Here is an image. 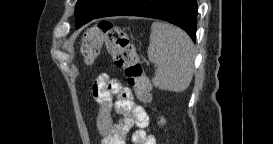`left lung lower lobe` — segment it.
<instances>
[{
	"mask_svg": "<svg viewBox=\"0 0 273 144\" xmlns=\"http://www.w3.org/2000/svg\"><path fill=\"white\" fill-rule=\"evenodd\" d=\"M76 28L94 18L131 15L166 20L183 30L195 41L197 27L196 0H96L75 12Z\"/></svg>",
	"mask_w": 273,
	"mask_h": 144,
	"instance_id": "1",
	"label": "left lung lower lobe"
}]
</instances>
